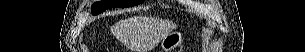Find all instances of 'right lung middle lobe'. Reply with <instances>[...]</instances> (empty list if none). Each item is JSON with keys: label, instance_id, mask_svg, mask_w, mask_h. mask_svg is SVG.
<instances>
[{"label": "right lung middle lobe", "instance_id": "obj_1", "mask_svg": "<svg viewBox=\"0 0 305 52\" xmlns=\"http://www.w3.org/2000/svg\"><path fill=\"white\" fill-rule=\"evenodd\" d=\"M143 0H102L100 2H96L92 6V14H99L106 9L114 8V7H129L140 4Z\"/></svg>", "mask_w": 305, "mask_h": 52}]
</instances>
